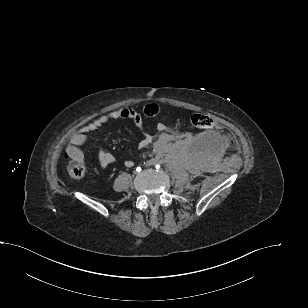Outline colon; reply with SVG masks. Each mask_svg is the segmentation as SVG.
I'll return each mask as SVG.
<instances>
[{
  "mask_svg": "<svg viewBox=\"0 0 308 308\" xmlns=\"http://www.w3.org/2000/svg\"><path fill=\"white\" fill-rule=\"evenodd\" d=\"M190 122L196 129L200 130L210 129L213 126L212 118L203 113L192 114L190 117ZM67 171L71 177L81 178L85 173L84 160L79 158H70L67 165Z\"/></svg>",
  "mask_w": 308,
  "mask_h": 308,
  "instance_id": "obj_1",
  "label": "colon"
}]
</instances>
